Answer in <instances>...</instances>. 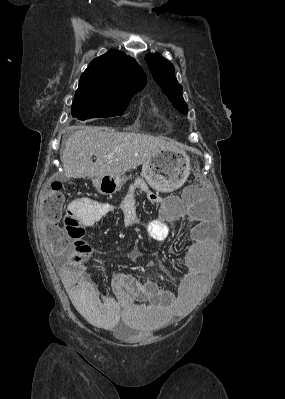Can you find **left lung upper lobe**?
<instances>
[{
  "instance_id": "1",
  "label": "left lung upper lobe",
  "mask_w": 285,
  "mask_h": 399,
  "mask_svg": "<svg viewBox=\"0 0 285 399\" xmlns=\"http://www.w3.org/2000/svg\"><path fill=\"white\" fill-rule=\"evenodd\" d=\"M145 60L152 72L154 80L168 96L173 106L181 113H187V104L183 99L182 86L175 77L174 66L164 57L156 54H147Z\"/></svg>"
}]
</instances>
